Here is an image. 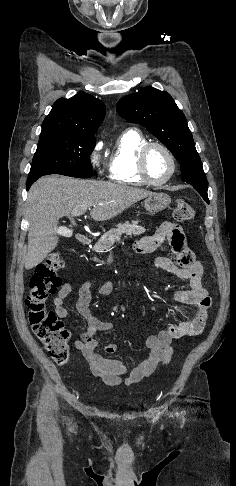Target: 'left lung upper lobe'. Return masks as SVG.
Returning a JSON list of instances; mask_svg holds the SVG:
<instances>
[{"mask_svg": "<svg viewBox=\"0 0 236 486\" xmlns=\"http://www.w3.org/2000/svg\"><path fill=\"white\" fill-rule=\"evenodd\" d=\"M118 114L140 124L158 138L181 165V179L192 185L209 203L206 176L186 117L169 93L145 87L117 103Z\"/></svg>", "mask_w": 236, "mask_h": 486, "instance_id": "left-lung-upper-lobe-1", "label": "left lung upper lobe"}]
</instances>
